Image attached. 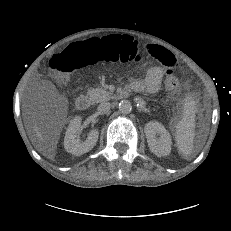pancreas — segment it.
I'll return each instance as SVG.
<instances>
[{
    "mask_svg": "<svg viewBox=\"0 0 231 231\" xmlns=\"http://www.w3.org/2000/svg\"><path fill=\"white\" fill-rule=\"evenodd\" d=\"M88 96L94 103H99L110 100L114 97V94L102 88H90L88 90Z\"/></svg>",
    "mask_w": 231,
    "mask_h": 231,
    "instance_id": "obj_1",
    "label": "pancreas"
}]
</instances>
